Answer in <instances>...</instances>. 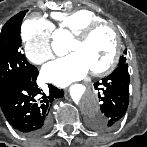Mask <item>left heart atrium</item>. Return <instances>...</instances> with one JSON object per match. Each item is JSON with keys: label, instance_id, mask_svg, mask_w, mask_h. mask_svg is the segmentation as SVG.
I'll return each mask as SVG.
<instances>
[{"label": "left heart atrium", "instance_id": "left-heart-atrium-1", "mask_svg": "<svg viewBox=\"0 0 147 147\" xmlns=\"http://www.w3.org/2000/svg\"><path fill=\"white\" fill-rule=\"evenodd\" d=\"M89 71L84 58L79 53H71L45 65L42 77L48 82L64 87L84 78Z\"/></svg>", "mask_w": 147, "mask_h": 147}]
</instances>
